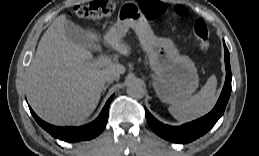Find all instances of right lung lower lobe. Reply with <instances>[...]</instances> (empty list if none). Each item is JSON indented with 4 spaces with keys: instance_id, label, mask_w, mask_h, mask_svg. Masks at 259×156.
I'll return each mask as SVG.
<instances>
[{
    "instance_id": "right-lung-lower-lobe-1",
    "label": "right lung lower lobe",
    "mask_w": 259,
    "mask_h": 156,
    "mask_svg": "<svg viewBox=\"0 0 259 156\" xmlns=\"http://www.w3.org/2000/svg\"><path fill=\"white\" fill-rule=\"evenodd\" d=\"M114 95H112L106 102L103 110L98 118L81 127H56L41 120L30 108L31 114L37 123L53 137L64 140L66 142H76L82 140H89L98 136L105 128L108 119V109L110 102Z\"/></svg>"
}]
</instances>
